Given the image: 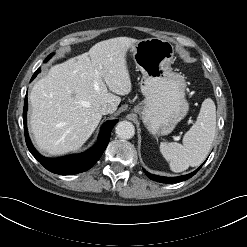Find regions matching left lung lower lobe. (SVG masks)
Returning <instances> with one entry per match:
<instances>
[{
	"label": "left lung lower lobe",
	"mask_w": 247,
	"mask_h": 247,
	"mask_svg": "<svg viewBox=\"0 0 247 247\" xmlns=\"http://www.w3.org/2000/svg\"><path fill=\"white\" fill-rule=\"evenodd\" d=\"M200 168L201 167H199L196 171H194V172H192L190 174L179 176V177H162V176H157V175L150 174V173L146 172L144 169H143V171L145 172V174L150 179H152L154 181L161 182V183H177V182H181V181L189 179L190 177L195 175Z\"/></svg>",
	"instance_id": "left-lung-lower-lobe-1"
}]
</instances>
